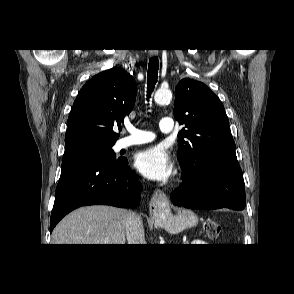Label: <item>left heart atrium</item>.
Returning <instances> with one entry per match:
<instances>
[{
    "mask_svg": "<svg viewBox=\"0 0 294 294\" xmlns=\"http://www.w3.org/2000/svg\"><path fill=\"white\" fill-rule=\"evenodd\" d=\"M137 170L151 180H165L173 171L169 154L161 146H153L139 152L135 157Z\"/></svg>",
    "mask_w": 294,
    "mask_h": 294,
    "instance_id": "left-heart-atrium-1",
    "label": "left heart atrium"
}]
</instances>
